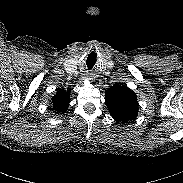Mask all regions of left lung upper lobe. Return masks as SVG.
Masks as SVG:
<instances>
[{"label":"left lung upper lobe","mask_w":183,"mask_h":183,"mask_svg":"<svg viewBox=\"0 0 183 183\" xmlns=\"http://www.w3.org/2000/svg\"><path fill=\"white\" fill-rule=\"evenodd\" d=\"M105 104L116 122L126 123L134 120L139 110L136 94L126 85L114 84L107 89Z\"/></svg>","instance_id":"obj_1"}]
</instances>
